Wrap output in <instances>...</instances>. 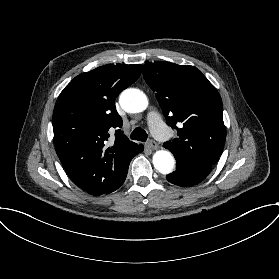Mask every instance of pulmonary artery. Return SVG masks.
<instances>
[{
  "mask_svg": "<svg viewBox=\"0 0 279 279\" xmlns=\"http://www.w3.org/2000/svg\"><path fill=\"white\" fill-rule=\"evenodd\" d=\"M145 122L149 128L153 131L156 138L159 140H165L169 136V131L165 127L164 123L154 113H149L145 117Z\"/></svg>",
  "mask_w": 279,
  "mask_h": 279,
  "instance_id": "e3ab8cb5",
  "label": "pulmonary artery"
}]
</instances>
